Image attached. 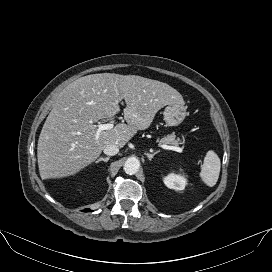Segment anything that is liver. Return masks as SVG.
Returning a JSON list of instances; mask_svg holds the SVG:
<instances>
[{"instance_id":"liver-1","label":"liver","mask_w":272,"mask_h":272,"mask_svg":"<svg viewBox=\"0 0 272 272\" xmlns=\"http://www.w3.org/2000/svg\"><path fill=\"white\" fill-rule=\"evenodd\" d=\"M124 99V119L96 139V123L113 118ZM182 95L166 83L137 75L91 74L70 83L57 97L41 130L37 158L42 179L76 174L108 144L123 148L138 130L147 129L156 113Z\"/></svg>"}]
</instances>
